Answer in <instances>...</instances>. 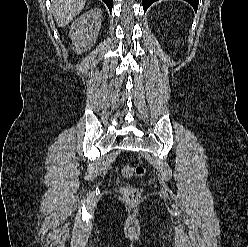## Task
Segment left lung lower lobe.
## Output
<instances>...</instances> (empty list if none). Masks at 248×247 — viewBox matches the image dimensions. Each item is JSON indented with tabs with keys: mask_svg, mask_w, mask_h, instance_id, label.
<instances>
[{
	"mask_svg": "<svg viewBox=\"0 0 248 247\" xmlns=\"http://www.w3.org/2000/svg\"><path fill=\"white\" fill-rule=\"evenodd\" d=\"M157 0H142V4H143V9H144V12L148 9V7ZM186 2L190 3V5L193 6V8L195 10H197V7H198V2L199 0H185Z\"/></svg>",
	"mask_w": 248,
	"mask_h": 247,
	"instance_id": "1",
	"label": "left lung lower lobe"
}]
</instances>
